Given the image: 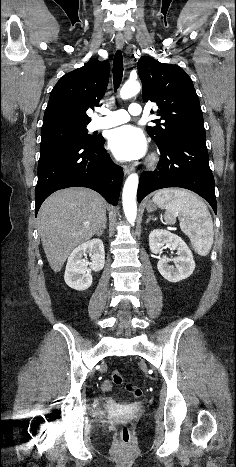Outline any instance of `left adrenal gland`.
<instances>
[{"instance_id":"a2214340","label":"left adrenal gland","mask_w":236,"mask_h":467,"mask_svg":"<svg viewBox=\"0 0 236 467\" xmlns=\"http://www.w3.org/2000/svg\"><path fill=\"white\" fill-rule=\"evenodd\" d=\"M151 220L156 221V218H153L151 215H148V218L146 220V224H148Z\"/></svg>"}]
</instances>
